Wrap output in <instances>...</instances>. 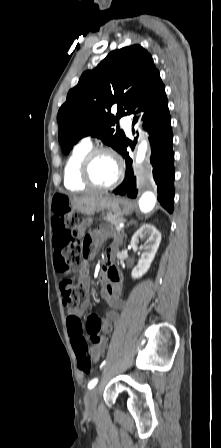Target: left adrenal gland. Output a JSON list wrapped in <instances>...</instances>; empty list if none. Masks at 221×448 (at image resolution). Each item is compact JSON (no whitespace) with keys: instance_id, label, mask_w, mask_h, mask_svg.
Listing matches in <instances>:
<instances>
[{"instance_id":"a2214340","label":"left adrenal gland","mask_w":221,"mask_h":448,"mask_svg":"<svg viewBox=\"0 0 221 448\" xmlns=\"http://www.w3.org/2000/svg\"><path fill=\"white\" fill-rule=\"evenodd\" d=\"M131 223H132V221L129 222V223L127 224V226H129ZM121 235H122V238H123V236H124V230H122Z\"/></svg>"}]
</instances>
